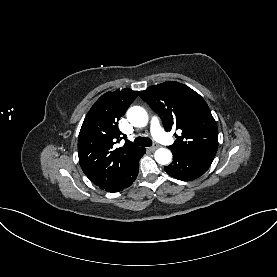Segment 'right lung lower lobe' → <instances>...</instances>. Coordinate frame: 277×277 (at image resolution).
I'll list each match as a JSON object with an SVG mask.
<instances>
[{
    "mask_svg": "<svg viewBox=\"0 0 277 277\" xmlns=\"http://www.w3.org/2000/svg\"><path fill=\"white\" fill-rule=\"evenodd\" d=\"M144 153L145 149L143 148L137 159L125 170V172L104 190L107 192H118L129 187L138 175L139 159Z\"/></svg>",
    "mask_w": 277,
    "mask_h": 277,
    "instance_id": "1",
    "label": "right lung lower lobe"
}]
</instances>
